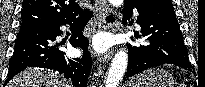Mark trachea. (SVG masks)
Masks as SVG:
<instances>
[{"label":"trachea","instance_id":"obj_1","mask_svg":"<svg viewBox=\"0 0 205 87\" xmlns=\"http://www.w3.org/2000/svg\"><path fill=\"white\" fill-rule=\"evenodd\" d=\"M108 22H113L115 20L113 14H110L109 16L106 17Z\"/></svg>","mask_w":205,"mask_h":87}]
</instances>
